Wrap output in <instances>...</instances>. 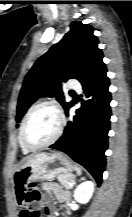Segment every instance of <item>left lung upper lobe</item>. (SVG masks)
I'll use <instances>...</instances> for the list:
<instances>
[{
    "label": "left lung upper lobe",
    "mask_w": 132,
    "mask_h": 217,
    "mask_svg": "<svg viewBox=\"0 0 132 217\" xmlns=\"http://www.w3.org/2000/svg\"><path fill=\"white\" fill-rule=\"evenodd\" d=\"M94 29L80 21L72 22L63 39L42 55L28 72L18 98L17 122L39 97H56L65 111L73 102L66 103L62 82L74 78L83 83L103 63Z\"/></svg>",
    "instance_id": "1"
}]
</instances>
